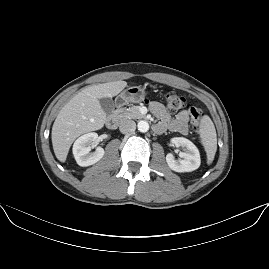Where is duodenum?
Returning <instances> with one entry per match:
<instances>
[{"label":"duodenum","mask_w":269,"mask_h":269,"mask_svg":"<svg viewBox=\"0 0 269 269\" xmlns=\"http://www.w3.org/2000/svg\"><path fill=\"white\" fill-rule=\"evenodd\" d=\"M106 125L109 129H115L118 125V117L115 115L109 116L106 121Z\"/></svg>","instance_id":"duodenum-1"}]
</instances>
